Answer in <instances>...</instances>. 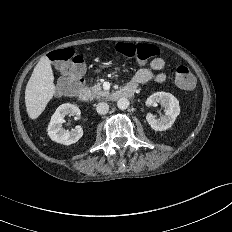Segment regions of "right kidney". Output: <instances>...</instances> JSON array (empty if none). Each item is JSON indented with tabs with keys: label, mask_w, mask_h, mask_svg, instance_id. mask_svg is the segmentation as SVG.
I'll use <instances>...</instances> for the list:
<instances>
[{
	"label": "right kidney",
	"mask_w": 232,
	"mask_h": 232,
	"mask_svg": "<svg viewBox=\"0 0 232 232\" xmlns=\"http://www.w3.org/2000/svg\"><path fill=\"white\" fill-rule=\"evenodd\" d=\"M80 114V109L73 104L65 103L60 105L52 115L48 125L47 131L50 139L64 145L76 143L82 137L83 129L76 126L75 129L66 130L62 127V124L65 122L66 115H75L80 118Z\"/></svg>",
	"instance_id": "obj_1"
}]
</instances>
